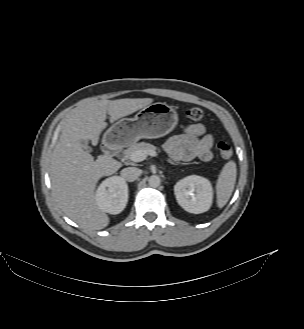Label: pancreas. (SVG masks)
Segmentation results:
<instances>
[{
    "instance_id": "cf45deb5",
    "label": "pancreas",
    "mask_w": 304,
    "mask_h": 329,
    "mask_svg": "<svg viewBox=\"0 0 304 329\" xmlns=\"http://www.w3.org/2000/svg\"><path fill=\"white\" fill-rule=\"evenodd\" d=\"M157 147L150 143H145V142H139L136 144L131 145L129 148L125 149L123 151V155L126 159H129V156L132 152L137 151V150H156Z\"/></svg>"
}]
</instances>
